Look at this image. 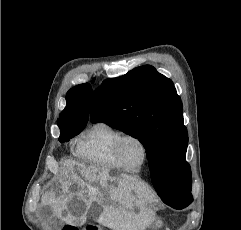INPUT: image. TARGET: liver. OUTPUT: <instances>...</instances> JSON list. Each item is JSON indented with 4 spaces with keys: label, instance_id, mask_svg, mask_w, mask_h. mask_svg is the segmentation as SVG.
I'll return each instance as SVG.
<instances>
[{
    "label": "liver",
    "instance_id": "1",
    "mask_svg": "<svg viewBox=\"0 0 241 230\" xmlns=\"http://www.w3.org/2000/svg\"><path fill=\"white\" fill-rule=\"evenodd\" d=\"M70 168L69 180L62 184V199L51 193L42 196L41 204L51 206L54 216L68 225H75L76 217L68 210L67 202L76 197L84 204L82 223L86 221L92 204L97 203L102 207V212L96 221L102 226L112 230H145L151 226L155 213L148 206L152 198L146 187L126 175L110 176V171L106 168L86 167L75 162H72ZM113 181H118L117 186L109 184ZM74 184L80 186L81 191H75V187L72 188ZM101 189L108 194L110 201L104 198ZM135 208L139 209L138 213ZM63 211H67L65 216Z\"/></svg>",
    "mask_w": 241,
    "mask_h": 230
}]
</instances>
